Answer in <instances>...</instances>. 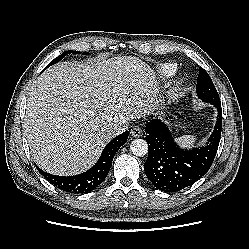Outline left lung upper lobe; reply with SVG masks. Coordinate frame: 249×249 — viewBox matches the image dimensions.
I'll use <instances>...</instances> for the list:
<instances>
[{"label":"left lung upper lobe","instance_id":"left-lung-upper-lobe-1","mask_svg":"<svg viewBox=\"0 0 249 249\" xmlns=\"http://www.w3.org/2000/svg\"><path fill=\"white\" fill-rule=\"evenodd\" d=\"M196 90L198 97L203 102L211 103L213 105L221 103L218 92L209 74L202 67H200L199 70Z\"/></svg>","mask_w":249,"mask_h":249}]
</instances>
